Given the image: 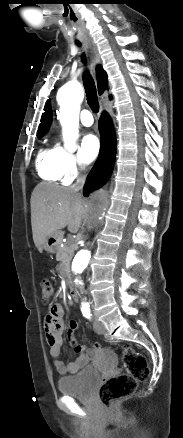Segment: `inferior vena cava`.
I'll list each match as a JSON object with an SVG mask.
<instances>
[{"instance_id":"602c4592","label":"inferior vena cava","mask_w":183,"mask_h":438,"mask_svg":"<svg viewBox=\"0 0 183 438\" xmlns=\"http://www.w3.org/2000/svg\"><path fill=\"white\" fill-rule=\"evenodd\" d=\"M86 181V175H79L77 178L76 183H74L70 188L71 190H73L74 192H79L82 191L83 186L85 184ZM80 194V193H79ZM81 195V194H80Z\"/></svg>"}]
</instances>
